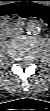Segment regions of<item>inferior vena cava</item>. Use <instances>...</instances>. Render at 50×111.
Returning a JSON list of instances; mask_svg holds the SVG:
<instances>
[{
	"label": "inferior vena cava",
	"instance_id": "inferior-vena-cava-1",
	"mask_svg": "<svg viewBox=\"0 0 50 111\" xmlns=\"http://www.w3.org/2000/svg\"><path fill=\"white\" fill-rule=\"evenodd\" d=\"M23 33V29L22 28H14L11 31V35L13 36H17Z\"/></svg>",
	"mask_w": 50,
	"mask_h": 111
}]
</instances>
